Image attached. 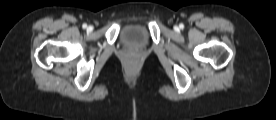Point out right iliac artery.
Here are the masks:
<instances>
[{"instance_id": "right-iliac-artery-1", "label": "right iliac artery", "mask_w": 276, "mask_h": 120, "mask_svg": "<svg viewBox=\"0 0 276 120\" xmlns=\"http://www.w3.org/2000/svg\"><path fill=\"white\" fill-rule=\"evenodd\" d=\"M82 27L85 29L87 28V24H83Z\"/></svg>"}]
</instances>
